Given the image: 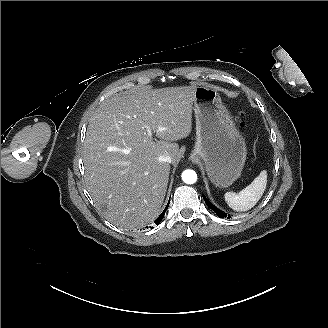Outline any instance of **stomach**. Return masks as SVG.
<instances>
[{"mask_svg": "<svg viewBox=\"0 0 328 328\" xmlns=\"http://www.w3.org/2000/svg\"><path fill=\"white\" fill-rule=\"evenodd\" d=\"M193 110L196 142L192 155L202 161L216 187H229L240 178L245 165V139L213 86H196Z\"/></svg>", "mask_w": 328, "mask_h": 328, "instance_id": "0dacf381", "label": "stomach"}]
</instances>
